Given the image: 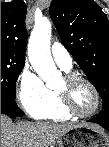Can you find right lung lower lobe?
Returning <instances> with one entry per match:
<instances>
[{"mask_svg": "<svg viewBox=\"0 0 109 147\" xmlns=\"http://www.w3.org/2000/svg\"><path fill=\"white\" fill-rule=\"evenodd\" d=\"M1 113L10 117H20L23 115L21 109L1 96Z\"/></svg>", "mask_w": 109, "mask_h": 147, "instance_id": "right-lung-lower-lobe-1", "label": "right lung lower lobe"}]
</instances>
